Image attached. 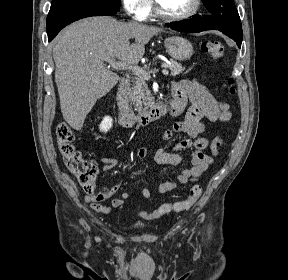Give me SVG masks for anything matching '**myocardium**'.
<instances>
[{
  "instance_id": "1",
  "label": "myocardium",
  "mask_w": 288,
  "mask_h": 280,
  "mask_svg": "<svg viewBox=\"0 0 288 280\" xmlns=\"http://www.w3.org/2000/svg\"><path fill=\"white\" fill-rule=\"evenodd\" d=\"M201 3H202L201 0H194V5L188 12L181 14V15H170L163 11L158 0H154L156 14L160 18L167 20V21H184L195 16L201 7Z\"/></svg>"
}]
</instances>
